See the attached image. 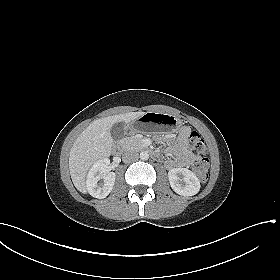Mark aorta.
Here are the masks:
<instances>
[{
  "mask_svg": "<svg viewBox=\"0 0 280 280\" xmlns=\"http://www.w3.org/2000/svg\"><path fill=\"white\" fill-rule=\"evenodd\" d=\"M140 159L143 160V161L148 160L149 159V153L147 151H142L140 153Z\"/></svg>",
  "mask_w": 280,
  "mask_h": 280,
  "instance_id": "obj_1",
  "label": "aorta"
}]
</instances>
